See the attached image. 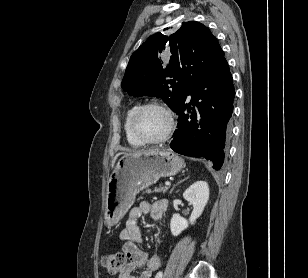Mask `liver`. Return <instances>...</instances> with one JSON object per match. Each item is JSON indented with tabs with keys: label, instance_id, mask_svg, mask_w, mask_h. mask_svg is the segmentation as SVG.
Here are the masks:
<instances>
[{
	"label": "liver",
	"instance_id": "obj_1",
	"mask_svg": "<svg viewBox=\"0 0 308 278\" xmlns=\"http://www.w3.org/2000/svg\"><path fill=\"white\" fill-rule=\"evenodd\" d=\"M120 154H121V153H119V154H117V155L115 156V158L113 159V162H112V166H113V164L115 163L117 157H118Z\"/></svg>",
	"mask_w": 308,
	"mask_h": 278
}]
</instances>
